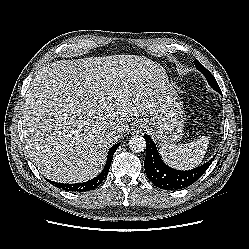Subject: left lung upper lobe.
I'll list each match as a JSON object with an SVG mask.
<instances>
[{"mask_svg": "<svg viewBox=\"0 0 249 249\" xmlns=\"http://www.w3.org/2000/svg\"><path fill=\"white\" fill-rule=\"evenodd\" d=\"M196 68L205 76L210 86L217 92H221L218 83L216 82L214 76L198 61L195 60Z\"/></svg>", "mask_w": 249, "mask_h": 249, "instance_id": "5c2ea615", "label": "left lung upper lobe"}]
</instances>
